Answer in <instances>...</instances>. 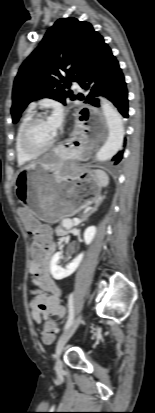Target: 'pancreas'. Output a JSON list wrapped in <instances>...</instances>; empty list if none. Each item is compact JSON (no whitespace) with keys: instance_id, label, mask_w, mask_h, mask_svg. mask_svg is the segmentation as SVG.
Masks as SVG:
<instances>
[{"instance_id":"obj_1","label":"pancreas","mask_w":155,"mask_h":413,"mask_svg":"<svg viewBox=\"0 0 155 413\" xmlns=\"http://www.w3.org/2000/svg\"><path fill=\"white\" fill-rule=\"evenodd\" d=\"M72 222V221H71ZM72 225H74V223L72 222ZM69 232V230L64 229L63 228V222L62 224L56 229V233L58 236H64Z\"/></svg>"}]
</instances>
